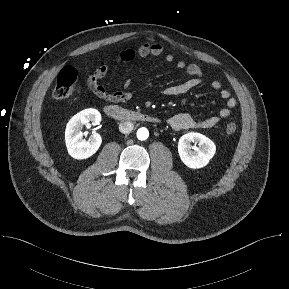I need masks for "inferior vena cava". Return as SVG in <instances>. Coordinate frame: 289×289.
Masks as SVG:
<instances>
[{
	"mask_svg": "<svg viewBox=\"0 0 289 289\" xmlns=\"http://www.w3.org/2000/svg\"><path fill=\"white\" fill-rule=\"evenodd\" d=\"M133 128H134V125L130 121H122L119 124V130H120V132H122L124 134L130 133L133 130Z\"/></svg>",
	"mask_w": 289,
	"mask_h": 289,
	"instance_id": "602c4592",
	"label": "inferior vena cava"
}]
</instances>
